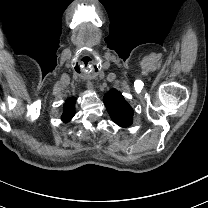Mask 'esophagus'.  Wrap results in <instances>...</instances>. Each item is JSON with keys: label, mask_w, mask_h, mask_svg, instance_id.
<instances>
[{"label": "esophagus", "mask_w": 208, "mask_h": 208, "mask_svg": "<svg viewBox=\"0 0 208 208\" xmlns=\"http://www.w3.org/2000/svg\"><path fill=\"white\" fill-rule=\"evenodd\" d=\"M87 88L90 89V90H93V88H94V87H93V84L90 83V82L87 83Z\"/></svg>", "instance_id": "obj_1"}]
</instances>
